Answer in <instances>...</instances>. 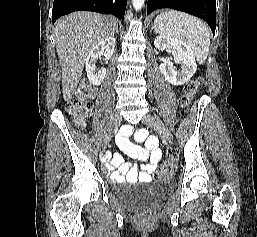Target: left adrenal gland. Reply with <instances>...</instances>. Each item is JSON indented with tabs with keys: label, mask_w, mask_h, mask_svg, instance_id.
I'll use <instances>...</instances> for the list:
<instances>
[{
	"label": "left adrenal gland",
	"mask_w": 257,
	"mask_h": 237,
	"mask_svg": "<svg viewBox=\"0 0 257 237\" xmlns=\"http://www.w3.org/2000/svg\"><path fill=\"white\" fill-rule=\"evenodd\" d=\"M154 29V26L152 25V27H151V30L150 31H152Z\"/></svg>",
	"instance_id": "1"
}]
</instances>
